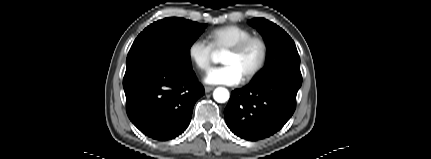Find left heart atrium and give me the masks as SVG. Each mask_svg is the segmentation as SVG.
Here are the masks:
<instances>
[{
  "mask_svg": "<svg viewBox=\"0 0 431 159\" xmlns=\"http://www.w3.org/2000/svg\"><path fill=\"white\" fill-rule=\"evenodd\" d=\"M243 76L238 69L232 65H225L222 67H215L208 71L204 81L211 85H228L234 86L239 84Z\"/></svg>",
  "mask_w": 431,
  "mask_h": 159,
  "instance_id": "obj_1",
  "label": "left heart atrium"
}]
</instances>
